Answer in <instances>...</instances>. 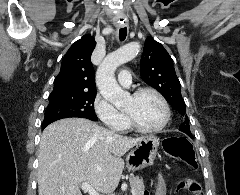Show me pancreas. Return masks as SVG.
<instances>
[{
    "mask_svg": "<svg viewBox=\"0 0 240 195\" xmlns=\"http://www.w3.org/2000/svg\"><path fill=\"white\" fill-rule=\"evenodd\" d=\"M130 187H132L135 195H143L144 183L140 177H130Z\"/></svg>",
    "mask_w": 240,
    "mask_h": 195,
    "instance_id": "obj_1",
    "label": "pancreas"
}]
</instances>
